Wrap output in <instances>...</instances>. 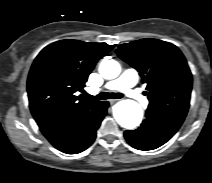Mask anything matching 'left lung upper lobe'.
<instances>
[{
  "mask_svg": "<svg viewBox=\"0 0 212 183\" xmlns=\"http://www.w3.org/2000/svg\"><path fill=\"white\" fill-rule=\"evenodd\" d=\"M116 53L141 75L149 91V109L185 118L190 105L192 74L175 45L141 39L120 45Z\"/></svg>",
  "mask_w": 212,
  "mask_h": 183,
  "instance_id": "5c2ea615",
  "label": "left lung upper lobe"
}]
</instances>
